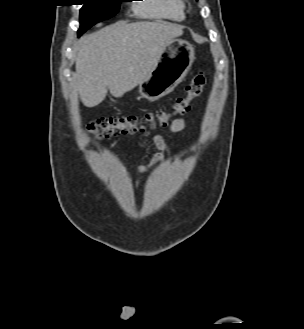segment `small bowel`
<instances>
[{
  "label": "small bowel",
  "mask_w": 304,
  "mask_h": 329,
  "mask_svg": "<svg viewBox=\"0 0 304 329\" xmlns=\"http://www.w3.org/2000/svg\"><path fill=\"white\" fill-rule=\"evenodd\" d=\"M186 120L184 118H176L172 121V123L169 126V132L170 133H178L183 131L186 128ZM153 142L158 150V153L154 156L151 164L149 166H141L138 167L136 170L139 173H145L148 170H150L152 167L157 165L163 160V152L166 149V142L162 135H154L153 136Z\"/></svg>",
  "instance_id": "obj_1"
}]
</instances>
